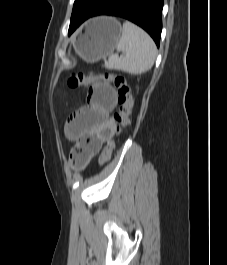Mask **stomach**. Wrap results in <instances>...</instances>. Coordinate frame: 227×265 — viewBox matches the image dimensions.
<instances>
[{
    "label": "stomach",
    "instance_id": "1",
    "mask_svg": "<svg viewBox=\"0 0 227 265\" xmlns=\"http://www.w3.org/2000/svg\"><path fill=\"white\" fill-rule=\"evenodd\" d=\"M120 23L112 17H97L88 22L76 41L75 49L86 62L92 63L111 54L121 37Z\"/></svg>",
    "mask_w": 227,
    "mask_h": 265
}]
</instances>
